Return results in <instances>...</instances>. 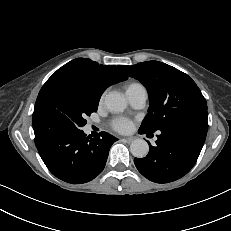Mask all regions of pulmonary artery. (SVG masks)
I'll list each match as a JSON object with an SVG mask.
<instances>
[{"instance_id": "obj_1", "label": "pulmonary artery", "mask_w": 231, "mask_h": 231, "mask_svg": "<svg viewBox=\"0 0 231 231\" xmlns=\"http://www.w3.org/2000/svg\"><path fill=\"white\" fill-rule=\"evenodd\" d=\"M128 99L131 105L136 108L140 109L145 105L147 99V93L144 88H139L127 94Z\"/></svg>"}]
</instances>
